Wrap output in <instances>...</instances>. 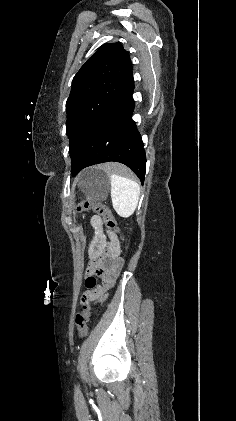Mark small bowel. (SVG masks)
I'll return each mask as SVG.
<instances>
[{
  "mask_svg": "<svg viewBox=\"0 0 236 421\" xmlns=\"http://www.w3.org/2000/svg\"><path fill=\"white\" fill-rule=\"evenodd\" d=\"M91 225L95 232V239L89 250V258L96 259L102 253L107 251H117L119 243L115 234L104 228L101 218L97 215L92 216ZM106 237L109 238V243L106 242Z\"/></svg>",
  "mask_w": 236,
  "mask_h": 421,
  "instance_id": "1",
  "label": "small bowel"
}]
</instances>
